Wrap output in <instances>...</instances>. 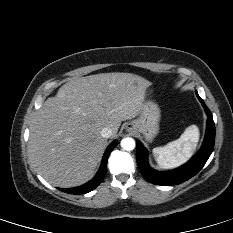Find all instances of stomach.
Instances as JSON below:
<instances>
[{
	"mask_svg": "<svg viewBox=\"0 0 233 233\" xmlns=\"http://www.w3.org/2000/svg\"><path fill=\"white\" fill-rule=\"evenodd\" d=\"M160 109L158 105L147 100L144 102L138 118L130 121L129 130L142 133L148 142H151L159 131Z\"/></svg>",
	"mask_w": 233,
	"mask_h": 233,
	"instance_id": "obj_1",
	"label": "stomach"
}]
</instances>
